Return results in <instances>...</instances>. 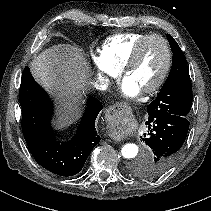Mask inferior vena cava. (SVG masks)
Returning <instances> with one entry per match:
<instances>
[{
    "mask_svg": "<svg viewBox=\"0 0 211 211\" xmlns=\"http://www.w3.org/2000/svg\"><path fill=\"white\" fill-rule=\"evenodd\" d=\"M108 83L107 82H95L94 87L96 89H102V87H107Z\"/></svg>",
    "mask_w": 211,
    "mask_h": 211,
    "instance_id": "inferior-vena-cava-1",
    "label": "inferior vena cava"
}]
</instances>
